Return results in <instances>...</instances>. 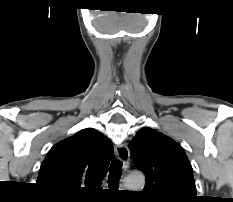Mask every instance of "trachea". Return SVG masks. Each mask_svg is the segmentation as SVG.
<instances>
[{"label":"trachea","instance_id":"1","mask_svg":"<svg viewBox=\"0 0 233 202\" xmlns=\"http://www.w3.org/2000/svg\"><path fill=\"white\" fill-rule=\"evenodd\" d=\"M122 172V162L113 159L110 165L108 184L110 187H117Z\"/></svg>","mask_w":233,"mask_h":202}]
</instances>
